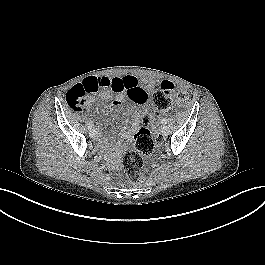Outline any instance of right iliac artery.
I'll use <instances>...</instances> for the list:
<instances>
[{
    "label": "right iliac artery",
    "mask_w": 265,
    "mask_h": 265,
    "mask_svg": "<svg viewBox=\"0 0 265 265\" xmlns=\"http://www.w3.org/2000/svg\"><path fill=\"white\" fill-rule=\"evenodd\" d=\"M92 126H93V124H92V121H88L87 122V127H88V129H92Z\"/></svg>",
    "instance_id": "82829eb1"
}]
</instances>
